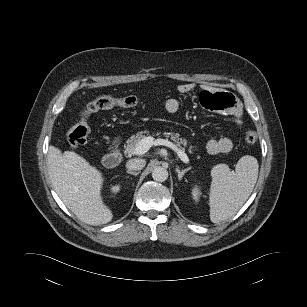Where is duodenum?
<instances>
[{
    "instance_id": "duodenum-1",
    "label": "duodenum",
    "mask_w": 307,
    "mask_h": 307,
    "mask_svg": "<svg viewBox=\"0 0 307 307\" xmlns=\"http://www.w3.org/2000/svg\"><path fill=\"white\" fill-rule=\"evenodd\" d=\"M121 160L122 154L120 150L115 147L104 155L102 162L106 168H114L121 163Z\"/></svg>"
}]
</instances>
